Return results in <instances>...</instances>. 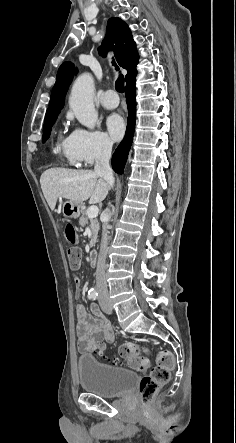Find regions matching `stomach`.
<instances>
[{
    "instance_id": "0dacf381",
    "label": "stomach",
    "mask_w": 236,
    "mask_h": 443,
    "mask_svg": "<svg viewBox=\"0 0 236 443\" xmlns=\"http://www.w3.org/2000/svg\"><path fill=\"white\" fill-rule=\"evenodd\" d=\"M82 204L73 201H66L62 205V213L66 218H78L82 211Z\"/></svg>"
}]
</instances>
